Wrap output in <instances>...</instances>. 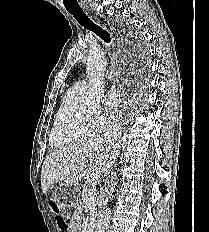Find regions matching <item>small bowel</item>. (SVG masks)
<instances>
[{
	"label": "small bowel",
	"mask_w": 209,
	"mask_h": 232,
	"mask_svg": "<svg viewBox=\"0 0 209 232\" xmlns=\"http://www.w3.org/2000/svg\"><path fill=\"white\" fill-rule=\"evenodd\" d=\"M80 228H81V217L77 213L74 215V217L72 218L70 223L67 225V227L64 228V230H66V232H79Z\"/></svg>",
	"instance_id": "c3829d8e"
}]
</instances>
